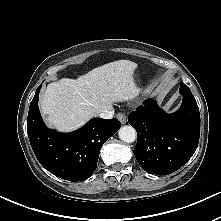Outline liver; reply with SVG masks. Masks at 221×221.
<instances>
[{"instance_id":"liver-1","label":"liver","mask_w":221,"mask_h":221,"mask_svg":"<svg viewBox=\"0 0 221 221\" xmlns=\"http://www.w3.org/2000/svg\"><path fill=\"white\" fill-rule=\"evenodd\" d=\"M137 64L118 60L79 76L48 84L40 108L49 125L61 132L83 126L113 104L134 99L139 88L134 79Z\"/></svg>"}]
</instances>
